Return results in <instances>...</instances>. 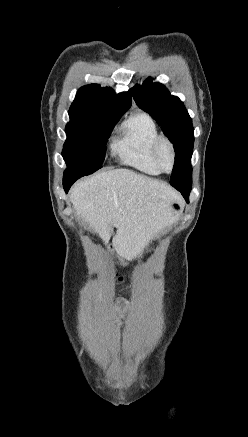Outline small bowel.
<instances>
[{"label": "small bowel", "instance_id": "1", "mask_svg": "<svg viewBox=\"0 0 248 437\" xmlns=\"http://www.w3.org/2000/svg\"><path fill=\"white\" fill-rule=\"evenodd\" d=\"M117 305L119 307H124L126 305V300L124 298L118 297ZM118 315H123V310H118Z\"/></svg>", "mask_w": 248, "mask_h": 437}]
</instances>
